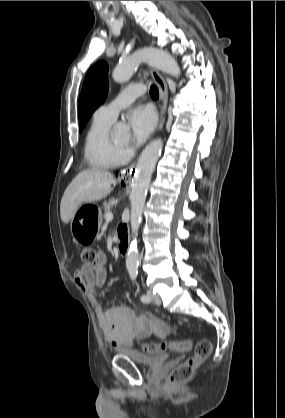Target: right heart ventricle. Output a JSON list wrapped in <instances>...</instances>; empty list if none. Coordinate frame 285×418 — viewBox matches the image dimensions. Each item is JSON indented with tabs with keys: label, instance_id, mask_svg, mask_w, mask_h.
Returning <instances> with one entry per match:
<instances>
[{
	"label": "right heart ventricle",
	"instance_id": "right-heart-ventricle-1",
	"mask_svg": "<svg viewBox=\"0 0 285 418\" xmlns=\"http://www.w3.org/2000/svg\"><path fill=\"white\" fill-rule=\"evenodd\" d=\"M111 122L97 118L95 115L84 139V156L92 169L106 170L121 164L124 160L111 143L109 131Z\"/></svg>",
	"mask_w": 285,
	"mask_h": 418
}]
</instances>
